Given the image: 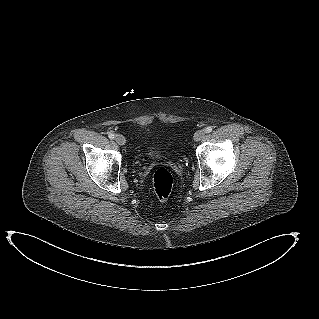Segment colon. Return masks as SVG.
Masks as SVG:
<instances>
[{
  "label": "colon",
  "instance_id": "1",
  "mask_svg": "<svg viewBox=\"0 0 319 319\" xmlns=\"http://www.w3.org/2000/svg\"><path fill=\"white\" fill-rule=\"evenodd\" d=\"M154 192L159 200H166L171 194L174 178L165 167L157 168L152 176Z\"/></svg>",
  "mask_w": 319,
  "mask_h": 319
}]
</instances>
